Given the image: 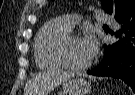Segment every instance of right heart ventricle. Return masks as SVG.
Here are the masks:
<instances>
[{
	"label": "right heart ventricle",
	"instance_id": "right-heart-ventricle-1",
	"mask_svg": "<svg viewBox=\"0 0 135 95\" xmlns=\"http://www.w3.org/2000/svg\"><path fill=\"white\" fill-rule=\"evenodd\" d=\"M70 30L61 18L51 19L42 25L34 42V56L39 68L59 69L63 67L57 56V47L60 40Z\"/></svg>",
	"mask_w": 135,
	"mask_h": 95
}]
</instances>
